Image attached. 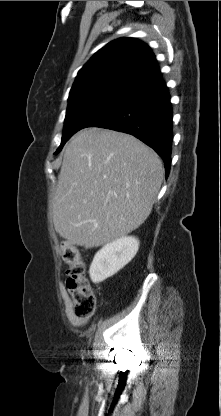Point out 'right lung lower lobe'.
<instances>
[{
    "label": "right lung lower lobe",
    "mask_w": 221,
    "mask_h": 416,
    "mask_svg": "<svg viewBox=\"0 0 221 416\" xmlns=\"http://www.w3.org/2000/svg\"><path fill=\"white\" fill-rule=\"evenodd\" d=\"M95 127L131 134L153 148L171 167L172 109L166 84L135 91L121 100Z\"/></svg>",
    "instance_id": "98d812e1"
}]
</instances>
